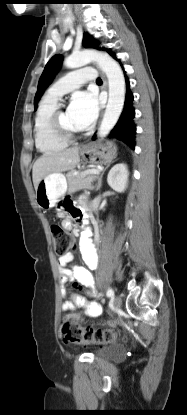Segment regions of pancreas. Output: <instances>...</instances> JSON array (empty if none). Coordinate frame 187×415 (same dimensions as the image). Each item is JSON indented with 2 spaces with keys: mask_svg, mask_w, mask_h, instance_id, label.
<instances>
[{
  "mask_svg": "<svg viewBox=\"0 0 187 415\" xmlns=\"http://www.w3.org/2000/svg\"><path fill=\"white\" fill-rule=\"evenodd\" d=\"M84 172H80L78 174H74V171L69 172L67 177L68 182V194L75 193L82 189H93V181L96 179L95 174H83Z\"/></svg>",
  "mask_w": 187,
  "mask_h": 415,
  "instance_id": "pancreas-1",
  "label": "pancreas"
}]
</instances>
